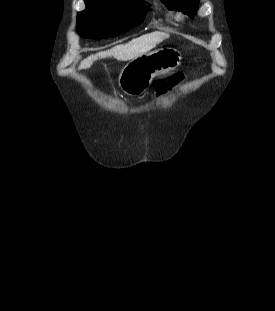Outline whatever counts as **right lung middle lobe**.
<instances>
[{"instance_id":"right-lung-middle-lobe-1","label":"right lung middle lobe","mask_w":275,"mask_h":311,"mask_svg":"<svg viewBox=\"0 0 275 311\" xmlns=\"http://www.w3.org/2000/svg\"><path fill=\"white\" fill-rule=\"evenodd\" d=\"M147 10L143 0L86 4V9L78 13L77 30L83 38L116 36L141 24Z\"/></svg>"}]
</instances>
